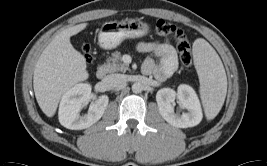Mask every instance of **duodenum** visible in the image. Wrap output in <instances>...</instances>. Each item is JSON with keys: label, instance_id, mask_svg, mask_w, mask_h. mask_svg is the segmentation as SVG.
I'll return each mask as SVG.
<instances>
[{"label": "duodenum", "instance_id": "410a0bca", "mask_svg": "<svg viewBox=\"0 0 267 166\" xmlns=\"http://www.w3.org/2000/svg\"><path fill=\"white\" fill-rule=\"evenodd\" d=\"M106 74V69L104 67H100L96 70V77L98 79H103Z\"/></svg>", "mask_w": 267, "mask_h": 166}]
</instances>
